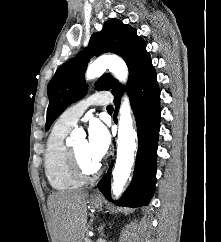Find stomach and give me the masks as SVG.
Returning a JSON list of instances; mask_svg holds the SVG:
<instances>
[{"mask_svg": "<svg viewBox=\"0 0 221 242\" xmlns=\"http://www.w3.org/2000/svg\"><path fill=\"white\" fill-rule=\"evenodd\" d=\"M89 203L93 208H100L103 204V200L90 198Z\"/></svg>", "mask_w": 221, "mask_h": 242, "instance_id": "0dacf381", "label": "stomach"}]
</instances>
